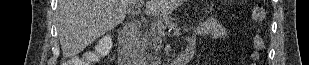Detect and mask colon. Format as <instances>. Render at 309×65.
<instances>
[{
    "mask_svg": "<svg viewBox=\"0 0 309 65\" xmlns=\"http://www.w3.org/2000/svg\"><path fill=\"white\" fill-rule=\"evenodd\" d=\"M252 19L258 22H261L265 19L266 11L264 6L257 2L252 8L251 12ZM265 41L262 34L257 33L253 37V49L254 53L252 59L257 61L259 58V54L264 48ZM111 48V43L109 40H100L94 51H85L81 58H77L73 60L75 65H90L98 63L102 56H105L109 53Z\"/></svg>",
    "mask_w": 309,
    "mask_h": 65,
    "instance_id": "5ec220e1",
    "label": "colon"
}]
</instances>
